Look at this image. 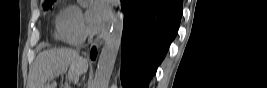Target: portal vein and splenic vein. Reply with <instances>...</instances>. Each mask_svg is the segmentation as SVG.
<instances>
[{
	"label": "portal vein and splenic vein",
	"mask_w": 267,
	"mask_h": 88,
	"mask_svg": "<svg viewBox=\"0 0 267 88\" xmlns=\"http://www.w3.org/2000/svg\"><path fill=\"white\" fill-rule=\"evenodd\" d=\"M63 72H65V71H63ZM60 74H62L60 71H58L56 74H55V76H59ZM66 88H69V86H66Z\"/></svg>",
	"instance_id": "obj_1"
}]
</instances>
